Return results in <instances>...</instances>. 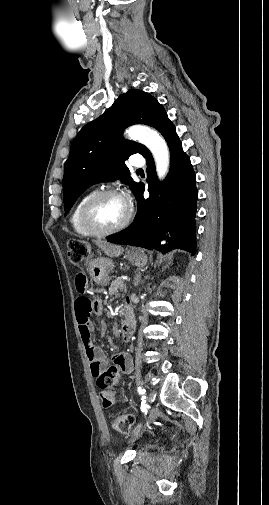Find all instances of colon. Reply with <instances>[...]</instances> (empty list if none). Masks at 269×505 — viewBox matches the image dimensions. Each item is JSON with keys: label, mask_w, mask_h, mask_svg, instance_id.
Segmentation results:
<instances>
[{"label": "colon", "mask_w": 269, "mask_h": 505, "mask_svg": "<svg viewBox=\"0 0 269 505\" xmlns=\"http://www.w3.org/2000/svg\"><path fill=\"white\" fill-rule=\"evenodd\" d=\"M90 256V248L80 242L73 241L69 244L68 257L74 266H79L85 262ZM87 282V280H86ZM120 377L118 372L110 367L97 376V385L101 390V397L105 407H110L113 402L114 389ZM134 418L132 415H113L112 426L122 434H127L133 424Z\"/></svg>", "instance_id": "obj_1"}]
</instances>
